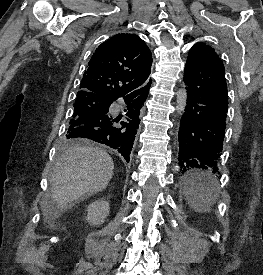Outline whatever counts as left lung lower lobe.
Wrapping results in <instances>:
<instances>
[{
	"instance_id": "1",
	"label": "left lung lower lobe",
	"mask_w": 263,
	"mask_h": 275,
	"mask_svg": "<svg viewBox=\"0 0 263 275\" xmlns=\"http://www.w3.org/2000/svg\"><path fill=\"white\" fill-rule=\"evenodd\" d=\"M187 106L180 122L179 166L194 182L206 184L219 172L228 111L225 68L213 50H192L185 65Z\"/></svg>"
}]
</instances>
